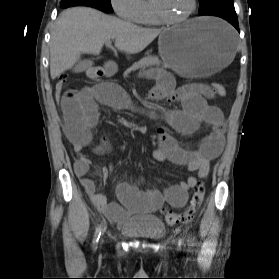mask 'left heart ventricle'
<instances>
[{
    "label": "left heart ventricle",
    "mask_w": 279,
    "mask_h": 279,
    "mask_svg": "<svg viewBox=\"0 0 279 279\" xmlns=\"http://www.w3.org/2000/svg\"><path fill=\"white\" fill-rule=\"evenodd\" d=\"M164 13L170 18H179L190 9L191 0H159Z\"/></svg>",
    "instance_id": "left-heart-ventricle-1"
}]
</instances>
